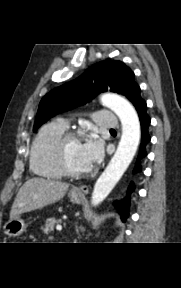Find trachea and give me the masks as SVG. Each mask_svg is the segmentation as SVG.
<instances>
[{
  "label": "trachea",
  "instance_id": "1",
  "mask_svg": "<svg viewBox=\"0 0 181 288\" xmlns=\"http://www.w3.org/2000/svg\"><path fill=\"white\" fill-rule=\"evenodd\" d=\"M110 131H115L114 129H110Z\"/></svg>",
  "mask_w": 181,
  "mask_h": 288
}]
</instances>
